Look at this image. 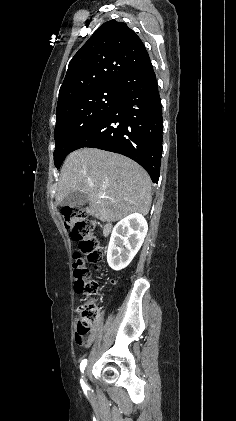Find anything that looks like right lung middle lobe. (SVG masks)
<instances>
[{"mask_svg":"<svg viewBox=\"0 0 236 421\" xmlns=\"http://www.w3.org/2000/svg\"><path fill=\"white\" fill-rule=\"evenodd\" d=\"M119 99V89L113 86L78 95L57 107L54 163L58 169L76 143L105 118Z\"/></svg>","mask_w":236,"mask_h":421,"instance_id":"right-lung-middle-lobe-1","label":"right lung middle lobe"}]
</instances>
